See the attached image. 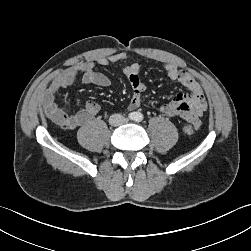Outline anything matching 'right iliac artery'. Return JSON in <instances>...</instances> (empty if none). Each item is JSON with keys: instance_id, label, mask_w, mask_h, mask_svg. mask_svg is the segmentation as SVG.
Returning a JSON list of instances; mask_svg holds the SVG:
<instances>
[{"instance_id": "obj_1", "label": "right iliac artery", "mask_w": 251, "mask_h": 251, "mask_svg": "<svg viewBox=\"0 0 251 251\" xmlns=\"http://www.w3.org/2000/svg\"><path fill=\"white\" fill-rule=\"evenodd\" d=\"M128 117H129L130 119H133V118H134V114H133V113H130V114L128 115Z\"/></svg>"}]
</instances>
